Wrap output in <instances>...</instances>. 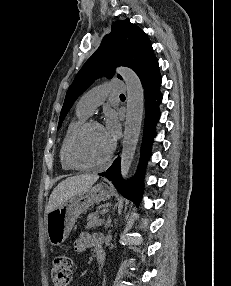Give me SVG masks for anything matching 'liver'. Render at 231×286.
<instances>
[{
  "mask_svg": "<svg viewBox=\"0 0 231 286\" xmlns=\"http://www.w3.org/2000/svg\"><path fill=\"white\" fill-rule=\"evenodd\" d=\"M98 178V175L95 174H82L60 182L50 195L48 205L46 206V213L48 214L52 210L60 207L76 193L92 186Z\"/></svg>",
  "mask_w": 231,
  "mask_h": 286,
  "instance_id": "liver-1",
  "label": "liver"
}]
</instances>
